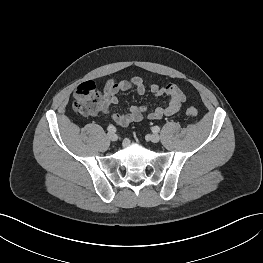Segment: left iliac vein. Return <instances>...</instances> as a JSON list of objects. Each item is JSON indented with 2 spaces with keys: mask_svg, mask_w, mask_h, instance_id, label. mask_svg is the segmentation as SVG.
Segmentation results:
<instances>
[{
  "mask_svg": "<svg viewBox=\"0 0 263 263\" xmlns=\"http://www.w3.org/2000/svg\"><path fill=\"white\" fill-rule=\"evenodd\" d=\"M150 141L157 143L160 141V136L158 134H151L149 136Z\"/></svg>",
  "mask_w": 263,
  "mask_h": 263,
  "instance_id": "4c4485c4",
  "label": "left iliac vein"
}]
</instances>
